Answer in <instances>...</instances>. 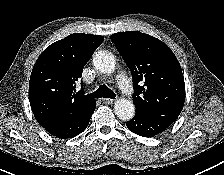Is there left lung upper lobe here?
<instances>
[{
  "mask_svg": "<svg viewBox=\"0 0 224 175\" xmlns=\"http://www.w3.org/2000/svg\"><path fill=\"white\" fill-rule=\"evenodd\" d=\"M111 39L131 70L136 113L177 119L184 105L185 84L171 49L138 31L116 33Z\"/></svg>",
  "mask_w": 224,
  "mask_h": 175,
  "instance_id": "5c2ea615",
  "label": "left lung upper lobe"
}]
</instances>
